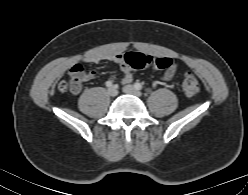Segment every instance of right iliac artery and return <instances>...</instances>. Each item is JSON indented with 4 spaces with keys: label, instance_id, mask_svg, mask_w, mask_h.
Instances as JSON below:
<instances>
[{
    "label": "right iliac artery",
    "instance_id": "obj_1",
    "mask_svg": "<svg viewBox=\"0 0 248 195\" xmlns=\"http://www.w3.org/2000/svg\"><path fill=\"white\" fill-rule=\"evenodd\" d=\"M105 84L107 87H111L113 85V83L111 81H107Z\"/></svg>",
    "mask_w": 248,
    "mask_h": 195
}]
</instances>
